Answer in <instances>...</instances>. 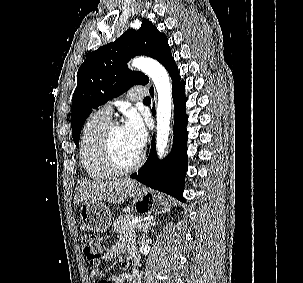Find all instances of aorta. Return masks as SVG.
<instances>
[{
  "label": "aorta",
  "mask_w": 303,
  "mask_h": 283,
  "mask_svg": "<svg viewBox=\"0 0 303 283\" xmlns=\"http://www.w3.org/2000/svg\"><path fill=\"white\" fill-rule=\"evenodd\" d=\"M132 67L148 75L156 88L158 103L156 108V150L159 158H163L169 142L170 120L172 112V90L166 69L152 58L138 57L133 59Z\"/></svg>",
  "instance_id": "obj_1"
}]
</instances>
